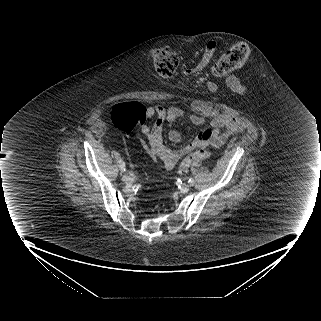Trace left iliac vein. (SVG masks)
Listing matches in <instances>:
<instances>
[{"mask_svg":"<svg viewBox=\"0 0 321 321\" xmlns=\"http://www.w3.org/2000/svg\"><path fill=\"white\" fill-rule=\"evenodd\" d=\"M189 189H190V186L188 184L184 183L180 187V192L185 194L189 191Z\"/></svg>","mask_w":321,"mask_h":321,"instance_id":"obj_1","label":"left iliac vein"}]
</instances>
